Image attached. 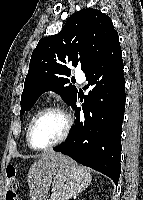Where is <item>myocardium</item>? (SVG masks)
Wrapping results in <instances>:
<instances>
[{
    "mask_svg": "<svg viewBox=\"0 0 143 200\" xmlns=\"http://www.w3.org/2000/svg\"><path fill=\"white\" fill-rule=\"evenodd\" d=\"M50 112H59L64 116V118L66 120V126H65V129H64V132L61 135V137L59 139H57L55 142H53V143H51V144H49L47 146L37 147L32 142V130H33V127L38 122V120H40L44 115H46V114H48ZM72 127H73V118H72L71 114L67 111L66 108H64L61 105L48 106V107L42 109L41 111H39L34 116V118L31 120V122L29 123L28 128H27V132H26L27 144L31 149L36 150V151L49 150V149H51V148L63 143L68 138V136H69V134H70V132L72 130Z\"/></svg>",
    "mask_w": 143,
    "mask_h": 200,
    "instance_id": "f54148a6",
    "label": "myocardium"
}]
</instances>
